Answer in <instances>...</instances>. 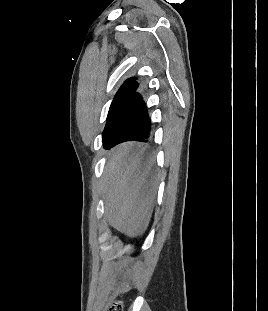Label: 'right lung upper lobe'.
Wrapping results in <instances>:
<instances>
[{
  "instance_id": "right-lung-upper-lobe-1",
  "label": "right lung upper lobe",
  "mask_w": 268,
  "mask_h": 311,
  "mask_svg": "<svg viewBox=\"0 0 268 311\" xmlns=\"http://www.w3.org/2000/svg\"><path fill=\"white\" fill-rule=\"evenodd\" d=\"M135 77L129 78L125 81V83L120 87V89L123 88H136L138 86V83L136 82Z\"/></svg>"
}]
</instances>
